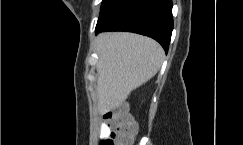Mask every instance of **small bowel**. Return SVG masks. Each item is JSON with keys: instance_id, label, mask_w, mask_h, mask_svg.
Listing matches in <instances>:
<instances>
[{"instance_id": "small-bowel-1", "label": "small bowel", "mask_w": 243, "mask_h": 145, "mask_svg": "<svg viewBox=\"0 0 243 145\" xmlns=\"http://www.w3.org/2000/svg\"><path fill=\"white\" fill-rule=\"evenodd\" d=\"M110 131H111V128L107 124L103 123L100 127V138L103 139V138L107 137L109 135Z\"/></svg>"}]
</instances>
